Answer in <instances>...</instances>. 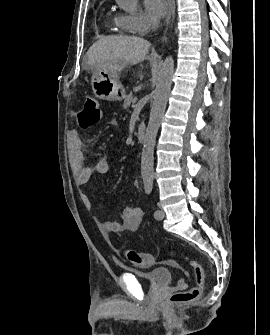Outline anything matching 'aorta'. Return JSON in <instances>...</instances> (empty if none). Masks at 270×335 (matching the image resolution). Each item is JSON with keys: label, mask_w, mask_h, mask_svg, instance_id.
Segmentation results:
<instances>
[{"label": "aorta", "mask_w": 270, "mask_h": 335, "mask_svg": "<svg viewBox=\"0 0 270 335\" xmlns=\"http://www.w3.org/2000/svg\"><path fill=\"white\" fill-rule=\"evenodd\" d=\"M174 74L173 58H166L155 78V90L152 92L153 106L143 142L141 156V175L143 181H152L154 177V148L157 132L165 114V108L171 90Z\"/></svg>", "instance_id": "aorta-1"}]
</instances>
